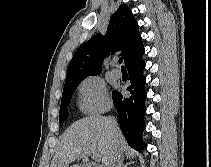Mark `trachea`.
<instances>
[{"mask_svg": "<svg viewBox=\"0 0 211 167\" xmlns=\"http://www.w3.org/2000/svg\"><path fill=\"white\" fill-rule=\"evenodd\" d=\"M122 63H123V58H120L119 59V64H122ZM122 69H125L124 66H122Z\"/></svg>", "mask_w": 211, "mask_h": 167, "instance_id": "3493384b", "label": "trachea"}]
</instances>
